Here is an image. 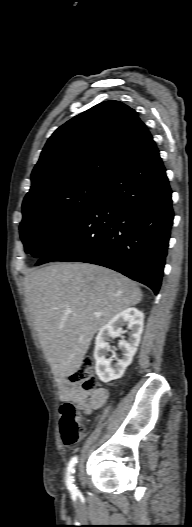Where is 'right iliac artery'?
I'll list each match as a JSON object with an SVG mask.
<instances>
[{"instance_id": "right-iliac-artery-1", "label": "right iliac artery", "mask_w": 192, "mask_h": 527, "mask_svg": "<svg viewBox=\"0 0 192 527\" xmlns=\"http://www.w3.org/2000/svg\"><path fill=\"white\" fill-rule=\"evenodd\" d=\"M77 463V456H74L69 464H68V467H67V478H66V485H67V488L69 489V491L71 493H75L77 488L74 484V479H73V476H72V473H74V467Z\"/></svg>"}]
</instances>
